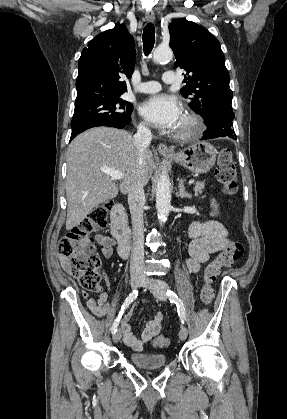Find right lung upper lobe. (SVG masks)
<instances>
[{"mask_svg": "<svg viewBox=\"0 0 287 419\" xmlns=\"http://www.w3.org/2000/svg\"><path fill=\"white\" fill-rule=\"evenodd\" d=\"M135 57L134 39L124 24L92 39L78 62L75 108L120 97L127 90L122 79L131 78Z\"/></svg>", "mask_w": 287, "mask_h": 419, "instance_id": "cb5924a9", "label": "right lung upper lobe"}]
</instances>
